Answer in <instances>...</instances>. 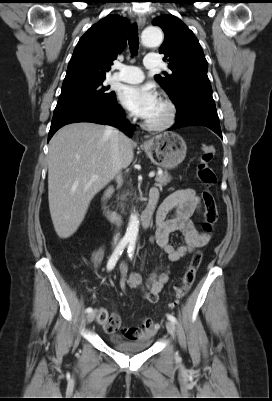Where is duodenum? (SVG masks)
Instances as JSON below:
<instances>
[{
  "label": "duodenum",
  "instance_id": "duodenum-1",
  "mask_svg": "<svg viewBox=\"0 0 272 401\" xmlns=\"http://www.w3.org/2000/svg\"><path fill=\"white\" fill-rule=\"evenodd\" d=\"M114 190L113 188H108L103 195L101 196L100 203H101V209L103 211L104 216L106 219L112 223H122L123 222V217L117 214L112 208L109 206V199L112 196ZM159 194L158 192H153L149 194L148 202L146 205V208L144 209L142 215H141V225L144 229L150 227L152 223V218H153V213L156 207V203L158 200Z\"/></svg>",
  "mask_w": 272,
  "mask_h": 401
}]
</instances>
